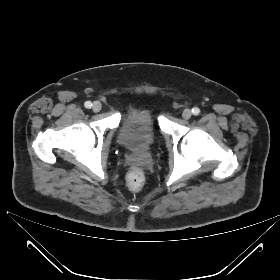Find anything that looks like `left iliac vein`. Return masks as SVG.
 I'll return each mask as SVG.
<instances>
[{"label": "left iliac vein", "mask_w": 280, "mask_h": 280, "mask_svg": "<svg viewBox=\"0 0 280 280\" xmlns=\"http://www.w3.org/2000/svg\"><path fill=\"white\" fill-rule=\"evenodd\" d=\"M191 116H192V112H191L190 109H185V110L182 112V117H183V119H185V120L190 119Z\"/></svg>", "instance_id": "4c4485c4"}]
</instances>
